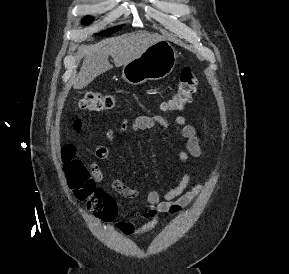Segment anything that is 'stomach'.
<instances>
[{
    "label": "stomach",
    "instance_id": "1",
    "mask_svg": "<svg viewBox=\"0 0 289 274\" xmlns=\"http://www.w3.org/2000/svg\"><path fill=\"white\" fill-rule=\"evenodd\" d=\"M177 64V54L173 46L165 40L150 45L139 57L125 64L123 79L132 85L167 77Z\"/></svg>",
    "mask_w": 289,
    "mask_h": 274
}]
</instances>
